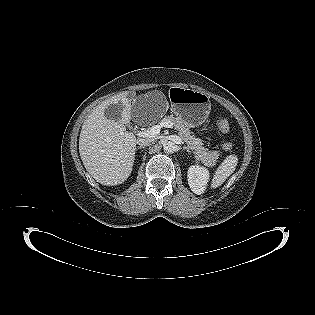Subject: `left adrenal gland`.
<instances>
[{"label":"left adrenal gland","instance_id":"a2214340","mask_svg":"<svg viewBox=\"0 0 315 315\" xmlns=\"http://www.w3.org/2000/svg\"><path fill=\"white\" fill-rule=\"evenodd\" d=\"M183 149L190 153V150L186 146H183Z\"/></svg>","mask_w":315,"mask_h":315}]
</instances>
